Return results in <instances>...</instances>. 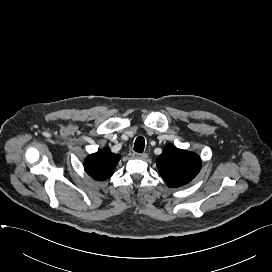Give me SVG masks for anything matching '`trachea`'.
Masks as SVG:
<instances>
[{
    "instance_id": "3493384b",
    "label": "trachea",
    "mask_w": 272,
    "mask_h": 272,
    "mask_svg": "<svg viewBox=\"0 0 272 272\" xmlns=\"http://www.w3.org/2000/svg\"><path fill=\"white\" fill-rule=\"evenodd\" d=\"M144 147H145V139L143 137H138L134 143V151L138 153H142L144 151Z\"/></svg>"
}]
</instances>
